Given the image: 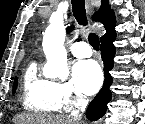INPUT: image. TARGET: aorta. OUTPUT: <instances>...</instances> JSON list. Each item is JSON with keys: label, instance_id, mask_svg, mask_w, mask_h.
Here are the masks:
<instances>
[{"label": "aorta", "instance_id": "aorta-1", "mask_svg": "<svg viewBox=\"0 0 145 124\" xmlns=\"http://www.w3.org/2000/svg\"><path fill=\"white\" fill-rule=\"evenodd\" d=\"M66 30L63 17L52 16L46 28L42 47L47 59L43 75L48 79L66 80L69 76L67 52L64 47Z\"/></svg>", "mask_w": 145, "mask_h": 124}]
</instances>
